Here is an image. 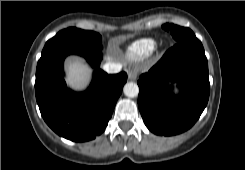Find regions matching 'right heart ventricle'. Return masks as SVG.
<instances>
[{
	"instance_id": "e07e8e85",
	"label": "right heart ventricle",
	"mask_w": 245,
	"mask_h": 170,
	"mask_svg": "<svg viewBox=\"0 0 245 170\" xmlns=\"http://www.w3.org/2000/svg\"><path fill=\"white\" fill-rule=\"evenodd\" d=\"M156 41L151 38L139 39L130 44L125 54L131 59H142L150 56L156 49Z\"/></svg>"
}]
</instances>
